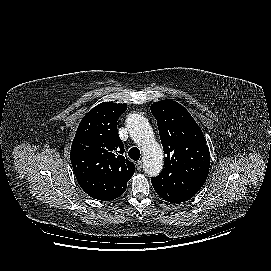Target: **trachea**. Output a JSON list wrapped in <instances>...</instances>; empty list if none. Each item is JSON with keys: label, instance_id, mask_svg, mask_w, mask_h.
Returning a JSON list of instances; mask_svg holds the SVG:
<instances>
[{"label": "trachea", "instance_id": "3493384b", "mask_svg": "<svg viewBox=\"0 0 271 271\" xmlns=\"http://www.w3.org/2000/svg\"><path fill=\"white\" fill-rule=\"evenodd\" d=\"M128 155L132 160H135V161L139 160L140 156H141L140 150L138 148H136V147H132L129 150Z\"/></svg>", "mask_w": 271, "mask_h": 271}]
</instances>
